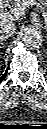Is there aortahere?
Listing matches in <instances>:
<instances>
[{"label": "aorta", "instance_id": "762f6f07", "mask_svg": "<svg viewBox=\"0 0 47 129\" xmlns=\"http://www.w3.org/2000/svg\"><path fill=\"white\" fill-rule=\"evenodd\" d=\"M22 41L28 47H37L42 44L43 35L37 28H27L23 32Z\"/></svg>", "mask_w": 47, "mask_h": 129}]
</instances>
